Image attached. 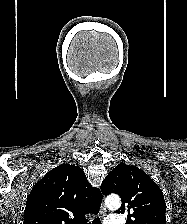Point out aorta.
Returning <instances> with one entry per match:
<instances>
[{"label": "aorta", "instance_id": "aorta-1", "mask_svg": "<svg viewBox=\"0 0 187 224\" xmlns=\"http://www.w3.org/2000/svg\"><path fill=\"white\" fill-rule=\"evenodd\" d=\"M105 204L109 209L116 210L121 206V199L117 195L108 196Z\"/></svg>", "mask_w": 187, "mask_h": 224}]
</instances>
